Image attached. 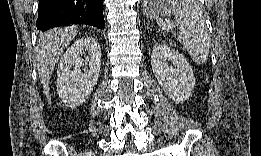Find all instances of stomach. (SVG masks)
<instances>
[{
	"label": "stomach",
	"mask_w": 261,
	"mask_h": 156,
	"mask_svg": "<svg viewBox=\"0 0 261 156\" xmlns=\"http://www.w3.org/2000/svg\"><path fill=\"white\" fill-rule=\"evenodd\" d=\"M145 14L150 17H155L156 15L163 14L164 8L157 2H149L144 6Z\"/></svg>",
	"instance_id": "1"
}]
</instances>
